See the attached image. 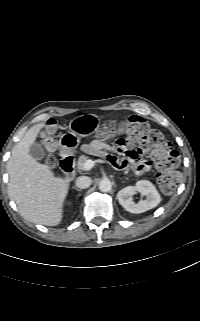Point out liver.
<instances>
[{"label": "liver", "mask_w": 200, "mask_h": 321, "mask_svg": "<svg viewBox=\"0 0 200 321\" xmlns=\"http://www.w3.org/2000/svg\"><path fill=\"white\" fill-rule=\"evenodd\" d=\"M44 126L45 123L32 126L13 148L7 162L8 194L24 219L56 226L63 218L70 180L55 177L47 166L29 154L30 146Z\"/></svg>", "instance_id": "1"}]
</instances>
